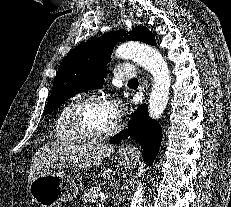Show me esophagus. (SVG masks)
Wrapping results in <instances>:
<instances>
[{"label":"esophagus","mask_w":231,"mask_h":207,"mask_svg":"<svg viewBox=\"0 0 231 207\" xmlns=\"http://www.w3.org/2000/svg\"><path fill=\"white\" fill-rule=\"evenodd\" d=\"M121 151L124 153H134L136 151V148L132 143L128 142L121 147Z\"/></svg>","instance_id":"34e87169"}]
</instances>
